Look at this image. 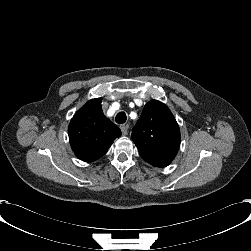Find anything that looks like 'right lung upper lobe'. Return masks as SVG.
<instances>
[{
	"mask_svg": "<svg viewBox=\"0 0 251 251\" xmlns=\"http://www.w3.org/2000/svg\"><path fill=\"white\" fill-rule=\"evenodd\" d=\"M101 98L88 101L70 121L68 135L75 155L85 162L102 157L121 136L117 125L103 114Z\"/></svg>",
	"mask_w": 251,
	"mask_h": 251,
	"instance_id": "right-lung-upper-lobe-1",
	"label": "right lung upper lobe"
}]
</instances>
